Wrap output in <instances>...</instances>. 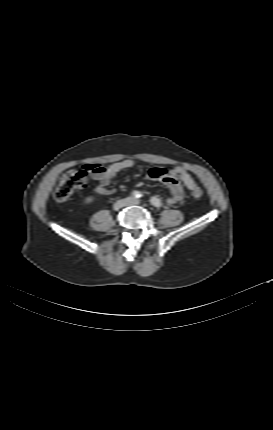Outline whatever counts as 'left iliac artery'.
<instances>
[{
    "label": "left iliac artery",
    "instance_id": "44dca946",
    "mask_svg": "<svg viewBox=\"0 0 273 430\" xmlns=\"http://www.w3.org/2000/svg\"><path fill=\"white\" fill-rule=\"evenodd\" d=\"M150 202L155 207L159 208L162 206L161 200L159 198L153 197V198H151Z\"/></svg>",
    "mask_w": 273,
    "mask_h": 430
}]
</instances>
